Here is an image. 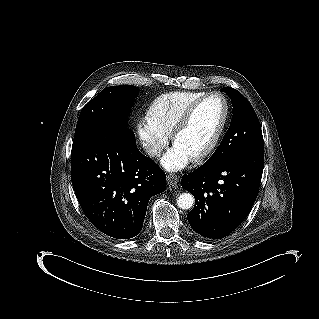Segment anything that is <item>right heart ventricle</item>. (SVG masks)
<instances>
[{"label":"right heart ventricle","instance_id":"e07e8e85","mask_svg":"<svg viewBox=\"0 0 319 319\" xmlns=\"http://www.w3.org/2000/svg\"><path fill=\"white\" fill-rule=\"evenodd\" d=\"M204 92L200 91H177L161 95L151 106L146 121L155 128L170 132L185 111L198 99Z\"/></svg>","mask_w":319,"mask_h":319}]
</instances>
